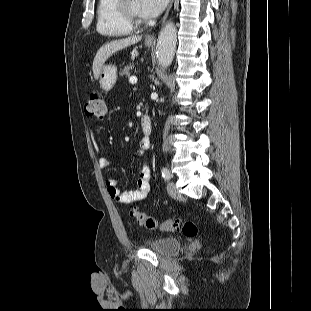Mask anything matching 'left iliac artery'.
<instances>
[{
  "instance_id": "obj_1",
  "label": "left iliac artery",
  "mask_w": 311,
  "mask_h": 311,
  "mask_svg": "<svg viewBox=\"0 0 311 311\" xmlns=\"http://www.w3.org/2000/svg\"><path fill=\"white\" fill-rule=\"evenodd\" d=\"M161 172H162V177L165 180H169L170 179V172H169V170L166 167H163Z\"/></svg>"
}]
</instances>
